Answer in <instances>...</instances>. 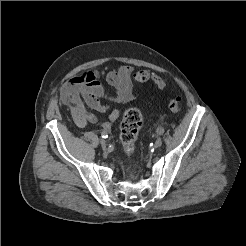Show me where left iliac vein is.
Instances as JSON below:
<instances>
[{
    "label": "left iliac vein",
    "mask_w": 246,
    "mask_h": 246,
    "mask_svg": "<svg viewBox=\"0 0 246 246\" xmlns=\"http://www.w3.org/2000/svg\"><path fill=\"white\" fill-rule=\"evenodd\" d=\"M162 145V138L158 137L154 143L155 148H159Z\"/></svg>",
    "instance_id": "obj_1"
}]
</instances>
